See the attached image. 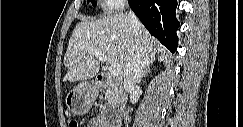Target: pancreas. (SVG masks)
Instances as JSON below:
<instances>
[{"label":"pancreas","mask_w":243,"mask_h":127,"mask_svg":"<svg viewBox=\"0 0 243 127\" xmlns=\"http://www.w3.org/2000/svg\"><path fill=\"white\" fill-rule=\"evenodd\" d=\"M107 104L115 105L118 102V92L112 88H108L105 92Z\"/></svg>","instance_id":"pancreas-1"}]
</instances>
